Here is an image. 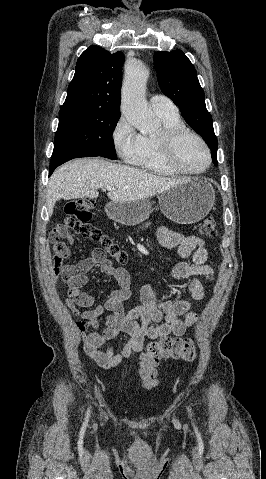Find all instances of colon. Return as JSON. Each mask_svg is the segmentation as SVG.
<instances>
[{"label":"colon","mask_w":266,"mask_h":479,"mask_svg":"<svg viewBox=\"0 0 266 479\" xmlns=\"http://www.w3.org/2000/svg\"><path fill=\"white\" fill-rule=\"evenodd\" d=\"M92 198L70 200L63 209L64 219L53 229L51 238L55 240V257L67 258L69 248L62 241H58L68 230L100 242L105 255L117 262L125 264L128 261L127 253L108 235L103 234L97 227L90 223L94 209ZM200 233L207 238L217 236L216 221L213 217H206L199 228ZM172 357L184 362H192L196 357L195 345L190 339L164 337L150 342L146 350L141 353L138 364V376L142 386L147 390L157 387L158 379L156 366L160 359Z\"/></svg>","instance_id":"obj_1"}]
</instances>
